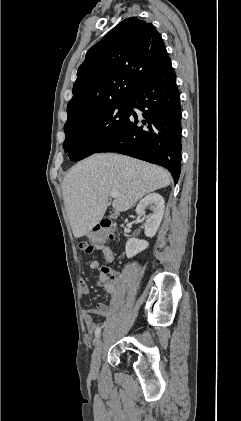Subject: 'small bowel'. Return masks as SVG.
Listing matches in <instances>:
<instances>
[{
  "label": "small bowel",
  "mask_w": 241,
  "mask_h": 421,
  "mask_svg": "<svg viewBox=\"0 0 241 421\" xmlns=\"http://www.w3.org/2000/svg\"><path fill=\"white\" fill-rule=\"evenodd\" d=\"M104 257L105 264H110L114 259V254L111 248L107 245H98L96 247ZM90 269L95 271L98 275L97 284L100 287H103L107 292L114 293L118 284V273L115 271H110V274L107 275L98 261H92L90 263ZM89 292L88 284L86 281H81L79 284V293L81 296H86ZM110 308L106 303H98L95 308L85 309L83 311V320L86 325V329L89 334H94L96 329L99 328V324L93 321L92 315L97 314L101 317H106L109 314Z\"/></svg>",
  "instance_id": "1"
}]
</instances>
